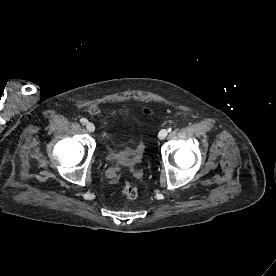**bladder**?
<instances>
[{
  "instance_id": "bladder-1",
  "label": "bladder",
  "mask_w": 276,
  "mask_h": 276,
  "mask_svg": "<svg viewBox=\"0 0 276 276\" xmlns=\"http://www.w3.org/2000/svg\"><path fill=\"white\" fill-rule=\"evenodd\" d=\"M143 154L144 148L142 144H129L109 150L107 158L117 165L133 168L140 163Z\"/></svg>"
}]
</instances>
